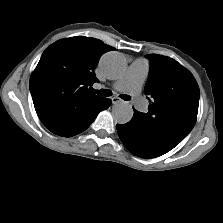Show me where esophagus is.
Returning <instances> with one entry per match:
<instances>
[{
    "label": "esophagus",
    "mask_w": 223,
    "mask_h": 223,
    "mask_svg": "<svg viewBox=\"0 0 223 223\" xmlns=\"http://www.w3.org/2000/svg\"><path fill=\"white\" fill-rule=\"evenodd\" d=\"M122 100L119 97H113L112 98V104H117L119 102H121Z\"/></svg>",
    "instance_id": "obj_1"
}]
</instances>
